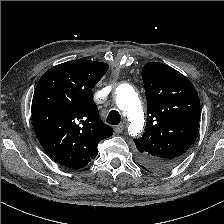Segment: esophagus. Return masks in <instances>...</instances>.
<instances>
[{
	"label": "esophagus",
	"mask_w": 224,
	"mask_h": 224,
	"mask_svg": "<svg viewBox=\"0 0 224 224\" xmlns=\"http://www.w3.org/2000/svg\"><path fill=\"white\" fill-rule=\"evenodd\" d=\"M124 130V125H118L114 127V131L117 134H120Z\"/></svg>",
	"instance_id": "esophagus-1"
}]
</instances>
